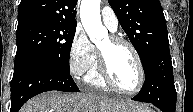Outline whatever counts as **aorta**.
<instances>
[{
  "instance_id": "aorta-1",
  "label": "aorta",
  "mask_w": 193,
  "mask_h": 112,
  "mask_svg": "<svg viewBox=\"0 0 193 112\" xmlns=\"http://www.w3.org/2000/svg\"><path fill=\"white\" fill-rule=\"evenodd\" d=\"M80 17L82 25L93 43L98 44L108 37V31L101 22L100 0H82Z\"/></svg>"
}]
</instances>
